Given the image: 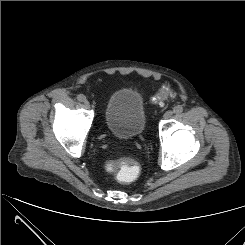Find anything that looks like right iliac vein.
<instances>
[{"instance_id": "1", "label": "right iliac vein", "mask_w": 245, "mask_h": 245, "mask_svg": "<svg viewBox=\"0 0 245 245\" xmlns=\"http://www.w3.org/2000/svg\"><path fill=\"white\" fill-rule=\"evenodd\" d=\"M84 105H85V107H87V108L90 107V104H89V102H88L87 100L84 101Z\"/></svg>"}]
</instances>
